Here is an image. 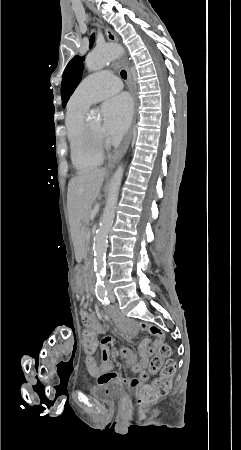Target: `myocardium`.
I'll return each mask as SVG.
<instances>
[{
	"label": "myocardium",
	"mask_w": 241,
	"mask_h": 450,
	"mask_svg": "<svg viewBox=\"0 0 241 450\" xmlns=\"http://www.w3.org/2000/svg\"><path fill=\"white\" fill-rule=\"evenodd\" d=\"M79 132L82 133L81 136L78 137V142L81 143L79 145L80 149H86L87 151H94L92 149H95L98 151V149H103V142L102 137L100 136V130L98 128H89L86 129L85 125H81L79 127ZM82 151V150H81ZM85 151V150H84ZM91 155V154H89ZM103 152H95V157H103Z\"/></svg>",
	"instance_id": "1"
}]
</instances>
